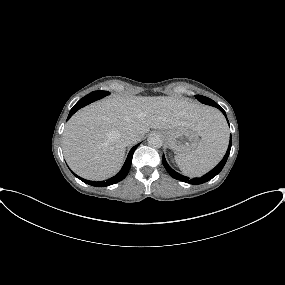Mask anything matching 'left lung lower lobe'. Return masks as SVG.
<instances>
[{"label": "left lung lower lobe", "mask_w": 285, "mask_h": 285, "mask_svg": "<svg viewBox=\"0 0 285 285\" xmlns=\"http://www.w3.org/2000/svg\"><path fill=\"white\" fill-rule=\"evenodd\" d=\"M217 108L225 115L226 117V113L225 111L218 105ZM228 121V120H227ZM230 150H231V142L229 143L227 152L224 156V158L221 160V162L214 168L212 169L210 172H208L207 174L203 175L202 177L199 178H193L190 179L189 177L183 176L179 173H177L176 171H174L167 163L165 156L163 155L162 158V163L165 167V169L167 170V172L174 178L183 182H188L189 184H193V185H198V184H202L205 183L209 180H211L213 177H215L218 173H220V171L223 169L228 156L230 154Z\"/></svg>", "instance_id": "obj_1"}]
</instances>
